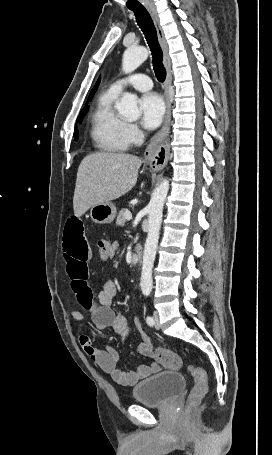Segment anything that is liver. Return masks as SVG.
<instances>
[{"mask_svg":"<svg viewBox=\"0 0 272 455\" xmlns=\"http://www.w3.org/2000/svg\"><path fill=\"white\" fill-rule=\"evenodd\" d=\"M142 160L127 153L98 152L80 163L73 198L76 217L91 207L116 200L136 184Z\"/></svg>","mask_w":272,"mask_h":455,"instance_id":"liver-1","label":"liver"}]
</instances>
